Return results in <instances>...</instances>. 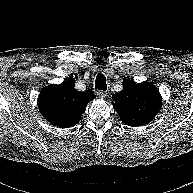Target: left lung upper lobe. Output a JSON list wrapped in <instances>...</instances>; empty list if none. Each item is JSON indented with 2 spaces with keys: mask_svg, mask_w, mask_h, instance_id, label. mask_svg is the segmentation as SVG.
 I'll use <instances>...</instances> for the list:
<instances>
[{
  "mask_svg": "<svg viewBox=\"0 0 193 193\" xmlns=\"http://www.w3.org/2000/svg\"><path fill=\"white\" fill-rule=\"evenodd\" d=\"M113 107L121 121L128 126H142L154 119L162 107V97L157 88L144 81H123V91L112 97Z\"/></svg>",
  "mask_w": 193,
  "mask_h": 193,
  "instance_id": "1",
  "label": "left lung upper lobe"
}]
</instances>
